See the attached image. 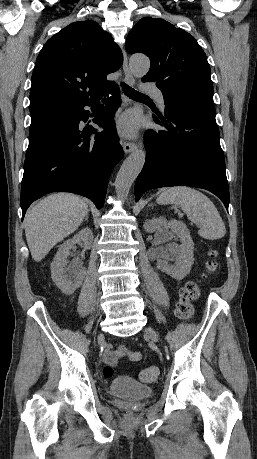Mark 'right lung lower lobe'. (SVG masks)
I'll return each instance as SVG.
<instances>
[{"label":"right lung lower lobe","mask_w":257,"mask_h":459,"mask_svg":"<svg viewBox=\"0 0 257 459\" xmlns=\"http://www.w3.org/2000/svg\"><path fill=\"white\" fill-rule=\"evenodd\" d=\"M107 93L112 94L110 101L93 120L106 131L93 138L95 129H81L79 123L90 115L84 107L96 110L101 96L31 114L21 185L22 219L33 201L55 191L76 193L91 199L97 209L103 207L108 178L123 157L113 124L120 105L118 87Z\"/></svg>","instance_id":"right-lung-lower-lobe-1"}]
</instances>
